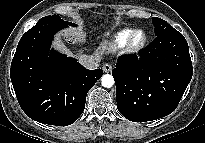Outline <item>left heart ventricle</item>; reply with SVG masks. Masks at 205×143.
<instances>
[{
    "instance_id": "obj_1",
    "label": "left heart ventricle",
    "mask_w": 205,
    "mask_h": 143,
    "mask_svg": "<svg viewBox=\"0 0 205 143\" xmlns=\"http://www.w3.org/2000/svg\"><path fill=\"white\" fill-rule=\"evenodd\" d=\"M141 39H142V34H138L137 37H136V40L140 41Z\"/></svg>"
}]
</instances>
